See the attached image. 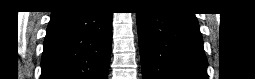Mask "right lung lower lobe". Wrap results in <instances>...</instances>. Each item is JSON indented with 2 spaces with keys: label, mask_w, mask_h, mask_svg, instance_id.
Returning <instances> with one entry per match:
<instances>
[{
  "label": "right lung lower lobe",
  "mask_w": 255,
  "mask_h": 79,
  "mask_svg": "<svg viewBox=\"0 0 255 79\" xmlns=\"http://www.w3.org/2000/svg\"><path fill=\"white\" fill-rule=\"evenodd\" d=\"M111 42V12L58 8L46 32L41 79H107Z\"/></svg>",
  "instance_id": "1"
}]
</instances>
